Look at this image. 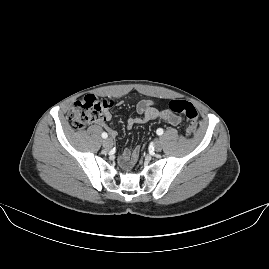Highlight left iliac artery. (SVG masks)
<instances>
[{
    "label": "left iliac artery",
    "mask_w": 269,
    "mask_h": 269,
    "mask_svg": "<svg viewBox=\"0 0 269 269\" xmlns=\"http://www.w3.org/2000/svg\"><path fill=\"white\" fill-rule=\"evenodd\" d=\"M156 133L158 135H162L163 134V129H161V128L157 129Z\"/></svg>",
    "instance_id": "obj_1"
}]
</instances>
